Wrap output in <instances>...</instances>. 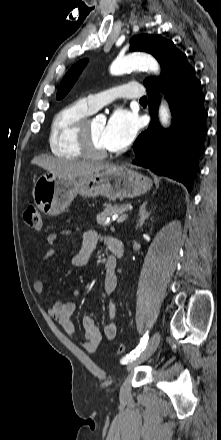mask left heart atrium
Wrapping results in <instances>:
<instances>
[{"label":"left heart atrium","instance_id":"left-heart-atrium-1","mask_svg":"<svg viewBox=\"0 0 221 440\" xmlns=\"http://www.w3.org/2000/svg\"><path fill=\"white\" fill-rule=\"evenodd\" d=\"M139 128L137 116L129 110L119 108L105 124L102 139L108 150L116 151L128 146Z\"/></svg>","mask_w":221,"mask_h":440}]
</instances>
